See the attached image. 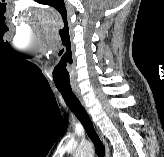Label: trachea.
<instances>
[{
	"label": "trachea",
	"instance_id": "trachea-1",
	"mask_svg": "<svg viewBox=\"0 0 164 157\" xmlns=\"http://www.w3.org/2000/svg\"><path fill=\"white\" fill-rule=\"evenodd\" d=\"M58 90L61 93L67 106L75 114L78 120L82 123L83 127L85 128V131L87 132V135L93 141L97 156L104 157L105 147L102 141L100 140L99 136L97 135L94 129L93 123L91 119L89 118L86 110L81 105L76 95L73 93L71 89L70 90L58 89Z\"/></svg>",
	"mask_w": 164,
	"mask_h": 157
}]
</instances>
